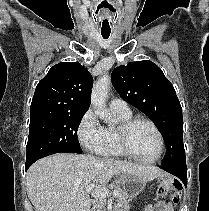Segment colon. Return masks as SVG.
Wrapping results in <instances>:
<instances>
[{
  "mask_svg": "<svg viewBox=\"0 0 209 211\" xmlns=\"http://www.w3.org/2000/svg\"><path fill=\"white\" fill-rule=\"evenodd\" d=\"M168 190L170 192L172 202L174 204L178 203L179 198H180V190H181V186L178 180H173L171 185L168 187ZM164 192H165V189L161 190L160 194H163Z\"/></svg>",
  "mask_w": 209,
  "mask_h": 211,
  "instance_id": "colon-1",
  "label": "colon"
}]
</instances>
